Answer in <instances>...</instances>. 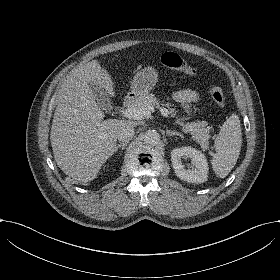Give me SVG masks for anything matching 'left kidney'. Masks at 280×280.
Wrapping results in <instances>:
<instances>
[{"label":"left kidney","mask_w":280,"mask_h":280,"mask_svg":"<svg viewBox=\"0 0 280 280\" xmlns=\"http://www.w3.org/2000/svg\"><path fill=\"white\" fill-rule=\"evenodd\" d=\"M190 158V163L182 159ZM171 162L178 177L189 183H203L208 180L209 166L205 154L191 146L176 148L171 152Z\"/></svg>","instance_id":"5707ae66"}]
</instances>
